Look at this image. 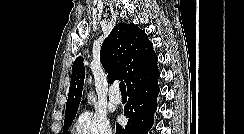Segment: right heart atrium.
I'll list each match as a JSON object with an SVG mask.
<instances>
[{"label": "right heart atrium", "mask_w": 244, "mask_h": 134, "mask_svg": "<svg viewBox=\"0 0 244 134\" xmlns=\"http://www.w3.org/2000/svg\"><path fill=\"white\" fill-rule=\"evenodd\" d=\"M77 134H113L107 117L98 112H83L76 122Z\"/></svg>", "instance_id": "1"}]
</instances>
